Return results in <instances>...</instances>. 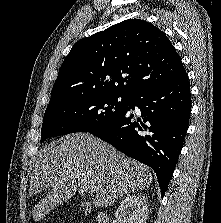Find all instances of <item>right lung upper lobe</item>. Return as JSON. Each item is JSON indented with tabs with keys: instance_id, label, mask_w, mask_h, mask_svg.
Returning <instances> with one entry per match:
<instances>
[{
	"instance_id": "1",
	"label": "right lung upper lobe",
	"mask_w": 221,
	"mask_h": 223,
	"mask_svg": "<svg viewBox=\"0 0 221 223\" xmlns=\"http://www.w3.org/2000/svg\"><path fill=\"white\" fill-rule=\"evenodd\" d=\"M166 35L154 25L129 19L79 40L64 59L51 100L82 94L130 98L185 74Z\"/></svg>"
}]
</instances>
